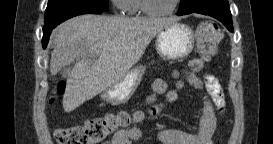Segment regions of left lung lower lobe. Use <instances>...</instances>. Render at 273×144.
<instances>
[{
  "label": "left lung lower lobe",
  "mask_w": 273,
  "mask_h": 144,
  "mask_svg": "<svg viewBox=\"0 0 273 144\" xmlns=\"http://www.w3.org/2000/svg\"><path fill=\"white\" fill-rule=\"evenodd\" d=\"M193 4V8L185 12H178L177 15L190 13L209 15L221 21L229 31H233L228 0H194Z\"/></svg>",
  "instance_id": "1"
}]
</instances>
